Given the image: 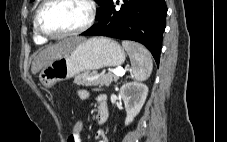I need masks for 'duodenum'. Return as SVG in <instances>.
Masks as SVG:
<instances>
[{"label": "duodenum", "mask_w": 227, "mask_h": 142, "mask_svg": "<svg viewBox=\"0 0 227 142\" xmlns=\"http://www.w3.org/2000/svg\"><path fill=\"white\" fill-rule=\"evenodd\" d=\"M108 119V107L106 101L102 102L98 106L97 121L100 124H104Z\"/></svg>", "instance_id": "1"}]
</instances>
